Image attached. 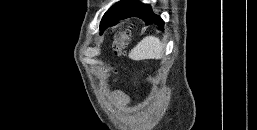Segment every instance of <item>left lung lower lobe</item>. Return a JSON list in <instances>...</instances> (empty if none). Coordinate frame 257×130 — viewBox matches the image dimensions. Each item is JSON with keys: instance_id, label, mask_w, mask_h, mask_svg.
<instances>
[{"instance_id": "obj_1", "label": "left lung lower lobe", "mask_w": 257, "mask_h": 130, "mask_svg": "<svg viewBox=\"0 0 257 130\" xmlns=\"http://www.w3.org/2000/svg\"><path fill=\"white\" fill-rule=\"evenodd\" d=\"M131 16L143 19L147 25L151 23L158 24L160 26V29L163 30L164 21L161 19L160 16L153 13L151 6L138 1H129L122 7L116 8L112 12V14L106 19L105 26L103 28H100L101 32H103L110 23Z\"/></svg>"}]
</instances>
